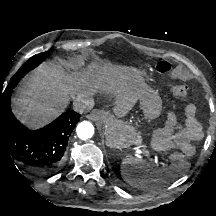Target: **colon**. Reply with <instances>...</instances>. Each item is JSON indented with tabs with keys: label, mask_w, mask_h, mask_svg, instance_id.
<instances>
[{
	"label": "colon",
	"mask_w": 216,
	"mask_h": 216,
	"mask_svg": "<svg viewBox=\"0 0 216 216\" xmlns=\"http://www.w3.org/2000/svg\"><path fill=\"white\" fill-rule=\"evenodd\" d=\"M171 65L168 62L165 61H161L159 63H157L156 65V70L158 73L162 74V75H166L169 74L171 72ZM173 94L174 96L181 100V101H185L188 97V87L185 84H176L173 86Z\"/></svg>",
	"instance_id": "colon-1"
}]
</instances>
